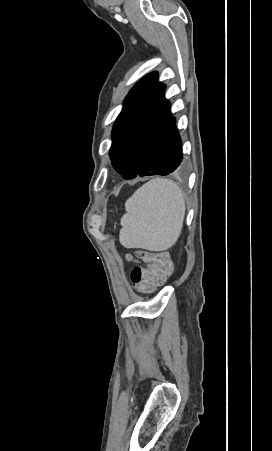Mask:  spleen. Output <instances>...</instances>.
Masks as SVG:
<instances>
[{"mask_svg":"<svg viewBox=\"0 0 272 451\" xmlns=\"http://www.w3.org/2000/svg\"><path fill=\"white\" fill-rule=\"evenodd\" d=\"M119 241L124 247L163 251L174 245L183 226L185 200L173 182L154 178L125 202Z\"/></svg>","mask_w":272,"mask_h":451,"instance_id":"1","label":"spleen"}]
</instances>
